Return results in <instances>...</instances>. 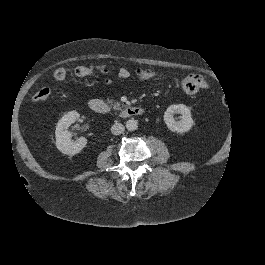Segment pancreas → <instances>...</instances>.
<instances>
[{"mask_svg":"<svg viewBox=\"0 0 265 265\" xmlns=\"http://www.w3.org/2000/svg\"><path fill=\"white\" fill-rule=\"evenodd\" d=\"M108 102L110 103V107L113 109H119L121 108H125L126 105L121 104L120 102H118V100H113V99H108Z\"/></svg>","mask_w":265,"mask_h":265,"instance_id":"1","label":"pancreas"}]
</instances>
